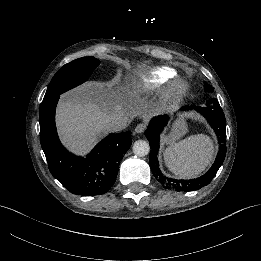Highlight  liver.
<instances>
[{"label":"liver","mask_w":261,"mask_h":261,"mask_svg":"<svg viewBox=\"0 0 261 261\" xmlns=\"http://www.w3.org/2000/svg\"><path fill=\"white\" fill-rule=\"evenodd\" d=\"M120 75L108 82L88 81L61 95L56 125L62 143L77 155L87 154L111 130L108 124L118 116L144 121L164 107L120 85Z\"/></svg>","instance_id":"obj_1"}]
</instances>
